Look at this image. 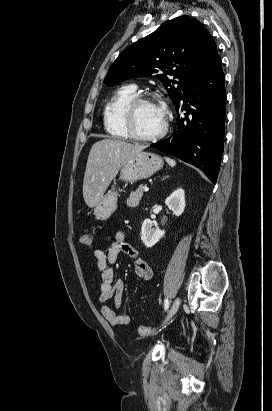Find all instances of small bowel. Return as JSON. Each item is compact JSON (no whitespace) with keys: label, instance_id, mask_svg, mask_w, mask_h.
Masks as SVG:
<instances>
[{"label":"small bowel","instance_id":"1","mask_svg":"<svg viewBox=\"0 0 272 411\" xmlns=\"http://www.w3.org/2000/svg\"><path fill=\"white\" fill-rule=\"evenodd\" d=\"M124 253L134 260V270L136 275L144 281H148L153 276L151 265L139 256L138 251L125 241L123 232H118L111 237L110 245L107 249L97 248L93 255L97 262V267L101 277L100 294L98 297L100 311L104 319L112 326H129L131 317L127 313L118 314L116 310L122 308V293L124 282L114 279L112 265L116 262L119 254ZM115 296L114 307L112 309L107 301Z\"/></svg>","mask_w":272,"mask_h":411}]
</instances>
